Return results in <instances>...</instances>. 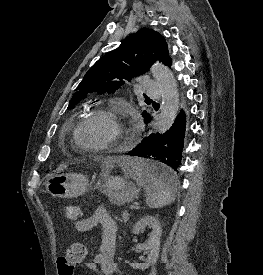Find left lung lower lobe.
Here are the masks:
<instances>
[{"instance_id":"obj_1","label":"left lung lower lobe","mask_w":263,"mask_h":275,"mask_svg":"<svg viewBox=\"0 0 263 275\" xmlns=\"http://www.w3.org/2000/svg\"><path fill=\"white\" fill-rule=\"evenodd\" d=\"M148 122L150 118L146 121ZM185 131L186 117L182 111L167 132L146 134L141 142L128 152V155L155 162L157 164L155 166L150 164L152 166L150 174L162 181L170 182L182 164Z\"/></svg>"}]
</instances>
